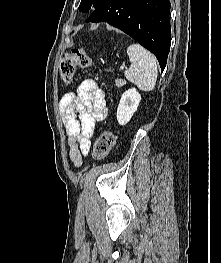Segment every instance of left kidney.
<instances>
[{
    "mask_svg": "<svg viewBox=\"0 0 221 263\" xmlns=\"http://www.w3.org/2000/svg\"><path fill=\"white\" fill-rule=\"evenodd\" d=\"M141 95L135 88L125 91L117 108V121L120 125H126L137 110Z\"/></svg>",
    "mask_w": 221,
    "mask_h": 263,
    "instance_id": "1",
    "label": "left kidney"
}]
</instances>
